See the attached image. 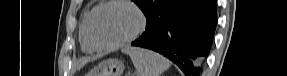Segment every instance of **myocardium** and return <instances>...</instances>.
Returning a JSON list of instances; mask_svg holds the SVG:
<instances>
[{
    "label": "myocardium",
    "instance_id": "f54148a6",
    "mask_svg": "<svg viewBox=\"0 0 287 76\" xmlns=\"http://www.w3.org/2000/svg\"><path fill=\"white\" fill-rule=\"evenodd\" d=\"M112 4H123L126 5L128 7H130L137 15L138 17V25L136 27V29L128 36L114 42V43H101L99 41H97L93 34H92V30H91V25H92V19L93 16L95 15V13L106 6L112 5ZM146 24H147V19L146 16L144 14V12L141 10V8L135 4L133 1L130 0H108V1H103L100 4H98L97 6H95L87 15L86 17V35L89 39V41L91 42V44L97 48V49H102V50H110V49H116L119 48L125 44H128L132 41H134L135 39H137L145 30L146 28Z\"/></svg>",
    "mask_w": 287,
    "mask_h": 76
}]
</instances>
